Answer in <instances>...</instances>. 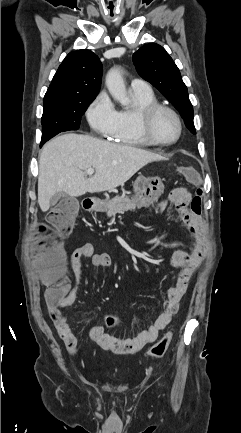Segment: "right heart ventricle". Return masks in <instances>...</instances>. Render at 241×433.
I'll return each mask as SVG.
<instances>
[{
  "mask_svg": "<svg viewBox=\"0 0 241 433\" xmlns=\"http://www.w3.org/2000/svg\"><path fill=\"white\" fill-rule=\"evenodd\" d=\"M133 106L118 111L117 124L111 136L112 141L135 147H147L150 144L141 134L138 112L142 107L157 103L153 92L132 91Z\"/></svg>",
  "mask_w": 241,
  "mask_h": 433,
  "instance_id": "obj_1",
  "label": "right heart ventricle"
}]
</instances>
